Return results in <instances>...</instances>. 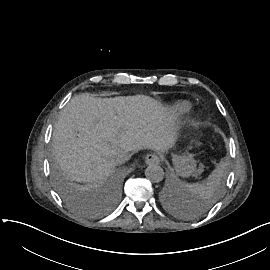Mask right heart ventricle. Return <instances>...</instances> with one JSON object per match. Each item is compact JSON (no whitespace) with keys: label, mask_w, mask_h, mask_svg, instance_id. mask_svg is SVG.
<instances>
[{"label":"right heart ventricle","mask_w":270,"mask_h":270,"mask_svg":"<svg viewBox=\"0 0 270 270\" xmlns=\"http://www.w3.org/2000/svg\"><path fill=\"white\" fill-rule=\"evenodd\" d=\"M191 109V104L187 101H176L171 105L170 112L173 116L179 117Z\"/></svg>","instance_id":"1"}]
</instances>
